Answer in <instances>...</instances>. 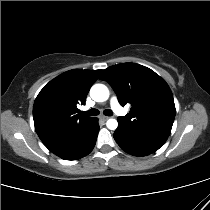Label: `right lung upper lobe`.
Listing matches in <instances>:
<instances>
[{"instance_id":"right-lung-upper-lobe-1","label":"right lung upper lobe","mask_w":210,"mask_h":210,"mask_svg":"<svg viewBox=\"0 0 210 210\" xmlns=\"http://www.w3.org/2000/svg\"><path fill=\"white\" fill-rule=\"evenodd\" d=\"M101 70L74 69L50 81L38 94L33 106L35 130L51 151L69 136L85 129L94 117H80L77 105L86 96Z\"/></svg>"}]
</instances>
